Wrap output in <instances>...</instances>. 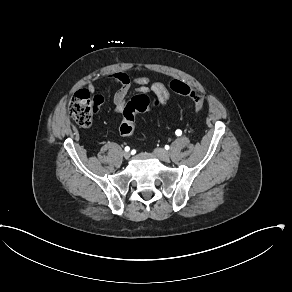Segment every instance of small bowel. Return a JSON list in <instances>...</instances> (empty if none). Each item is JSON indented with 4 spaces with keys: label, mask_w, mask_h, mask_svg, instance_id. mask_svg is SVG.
<instances>
[{
    "label": "small bowel",
    "mask_w": 292,
    "mask_h": 292,
    "mask_svg": "<svg viewBox=\"0 0 292 292\" xmlns=\"http://www.w3.org/2000/svg\"><path fill=\"white\" fill-rule=\"evenodd\" d=\"M106 80L111 84H117L119 86L118 91L115 93L113 102L115 106V113L120 114L131 94V85L135 84L138 86L136 89L137 93L147 94L152 92L156 99L159 101L161 107H165L170 102V92L167 90L166 86L161 82L152 83L151 80L146 76H135L130 78L127 74L123 72H114L106 76ZM97 84L92 81L88 85L90 91H95Z\"/></svg>",
    "instance_id": "obj_1"
}]
</instances>
